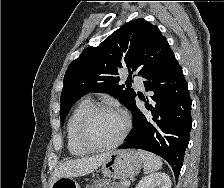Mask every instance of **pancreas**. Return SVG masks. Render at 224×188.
<instances>
[{"mask_svg":"<svg viewBox=\"0 0 224 188\" xmlns=\"http://www.w3.org/2000/svg\"><path fill=\"white\" fill-rule=\"evenodd\" d=\"M86 188H126L123 182H113L108 179H98L94 180L92 184L88 185Z\"/></svg>","mask_w":224,"mask_h":188,"instance_id":"obj_1","label":"pancreas"}]
</instances>
